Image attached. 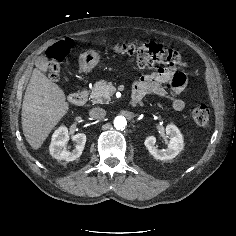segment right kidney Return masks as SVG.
Returning a JSON list of instances; mask_svg holds the SVG:
<instances>
[{"instance_id": "ca27d5eb", "label": "right kidney", "mask_w": 236, "mask_h": 236, "mask_svg": "<svg viewBox=\"0 0 236 236\" xmlns=\"http://www.w3.org/2000/svg\"><path fill=\"white\" fill-rule=\"evenodd\" d=\"M76 146L72 151L66 150L65 147L69 141L68 129L65 126L59 127L52 135L51 144L49 146L50 154L57 160H65L67 162L79 158L82 154L86 143V135L78 133L72 136Z\"/></svg>"}]
</instances>
